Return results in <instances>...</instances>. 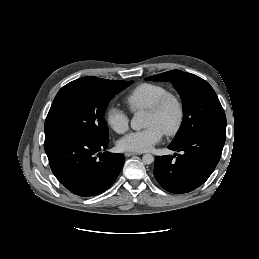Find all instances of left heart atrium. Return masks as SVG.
<instances>
[{"mask_svg":"<svg viewBox=\"0 0 259 259\" xmlns=\"http://www.w3.org/2000/svg\"><path fill=\"white\" fill-rule=\"evenodd\" d=\"M163 131L156 125H150L143 130L134 131L118 141L122 151L146 152L162 139Z\"/></svg>","mask_w":259,"mask_h":259,"instance_id":"left-heart-atrium-1","label":"left heart atrium"}]
</instances>
